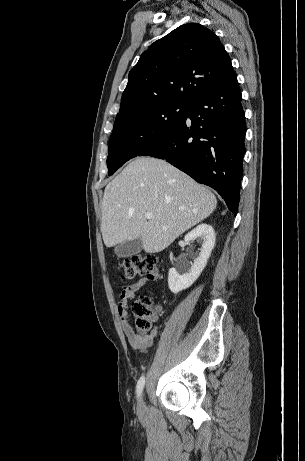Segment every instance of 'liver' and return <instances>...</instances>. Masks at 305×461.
I'll return each instance as SVG.
<instances>
[{"instance_id": "obj_1", "label": "liver", "mask_w": 305, "mask_h": 461, "mask_svg": "<svg viewBox=\"0 0 305 461\" xmlns=\"http://www.w3.org/2000/svg\"><path fill=\"white\" fill-rule=\"evenodd\" d=\"M216 206L210 190L166 161L137 157L104 190L103 241L113 247L141 238L145 252L157 253ZM147 212L152 219L145 217Z\"/></svg>"}]
</instances>
